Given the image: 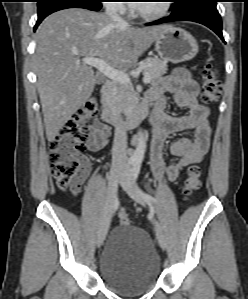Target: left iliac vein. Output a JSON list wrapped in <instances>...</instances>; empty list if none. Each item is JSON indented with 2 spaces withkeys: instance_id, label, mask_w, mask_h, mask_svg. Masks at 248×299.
Listing matches in <instances>:
<instances>
[{
  "instance_id": "obj_1",
  "label": "left iliac vein",
  "mask_w": 248,
  "mask_h": 299,
  "mask_svg": "<svg viewBox=\"0 0 248 299\" xmlns=\"http://www.w3.org/2000/svg\"><path fill=\"white\" fill-rule=\"evenodd\" d=\"M120 184L127 194L135 200L137 203L145 206V201L142 198L141 192L136 185L134 179L132 178V169L129 166H126L121 174ZM156 228V237L159 242V245L162 249L166 248V239L160 224L157 221H154Z\"/></svg>"
}]
</instances>
